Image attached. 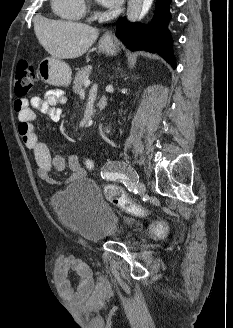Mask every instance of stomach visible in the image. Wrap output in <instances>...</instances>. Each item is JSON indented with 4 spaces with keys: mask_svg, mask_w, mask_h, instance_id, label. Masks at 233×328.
<instances>
[{
    "mask_svg": "<svg viewBox=\"0 0 233 328\" xmlns=\"http://www.w3.org/2000/svg\"><path fill=\"white\" fill-rule=\"evenodd\" d=\"M98 50L102 53L115 55L119 47L113 37L105 35L98 43ZM38 74L44 83L66 87L71 82V69L67 63L58 58L47 57L38 65Z\"/></svg>",
    "mask_w": 233,
    "mask_h": 328,
    "instance_id": "0dacf381",
    "label": "stomach"
}]
</instances>
